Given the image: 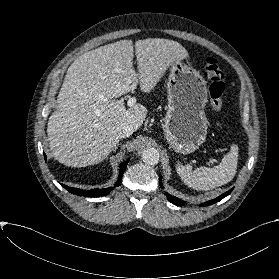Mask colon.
<instances>
[{"instance_id": "1", "label": "colon", "mask_w": 279, "mask_h": 279, "mask_svg": "<svg viewBox=\"0 0 279 279\" xmlns=\"http://www.w3.org/2000/svg\"><path fill=\"white\" fill-rule=\"evenodd\" d=\"M201 69L209 81V102L211 108L218 112L223 107L225 92L224 74L218 61L209 57L203 62Z\"/></svg>"}]
</instances>
